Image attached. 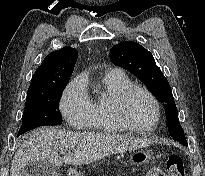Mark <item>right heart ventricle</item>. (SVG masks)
<instances>
[{
  "mask_svg": "<svg viewBox=\"0 0 205 176\" xmlns=\"http://www.w3.org/2000/svg\"><path fill=\"white\" fill-rule=\"evenodd\" d=\"M104 92L91 100L92 112L90 128L99 134L112 135L128 130L119 119L116 100L119 94L132 85L131 80L122 72H106L102 79Z\"/></svg>",
  "mask_w": 205,
  "mask_h": 176,
  "instance_id": "e07e8e85",
  "label": "right heart ventricle"
}]
</instances>
